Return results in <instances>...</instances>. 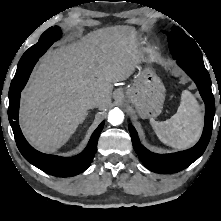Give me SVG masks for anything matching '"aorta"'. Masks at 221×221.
I'll return each mask as SVG.
<instances>
[{"label": "aorta", "mask_w": 221, "mask_h": 221, "mask_svg": "<svg viewBox=\"0 0 221 221\" xmlns=\"http://www.w3.org/2000/svg\"><path fill=\"white\" fill-rule=\"evenodd\" d=\"M124 120V113L119 108H114L108 113V122L111 125H120Z\"/></svg>", "instance_id": "762f6f07"}]
</instances>
